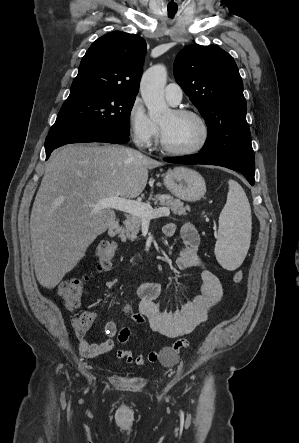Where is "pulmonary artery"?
<instances>
[{
	"mask_svg": "<svg viewBox=\"0 0 299 443\" xmlns=\"http://www.w3.org/2000/svg\"><path fill=\"white\" fill-rule=\"evenodd\" d=\"M182 89L176 83H170L165 88V98L171 105H177L182 100Z\"/></svg>",
	"mask_w": 299,
	"mask_h": 443,
	"instance_id": "pulmonary-artery-1",
	"label": "pulmonary artery"
}]
</instances>
